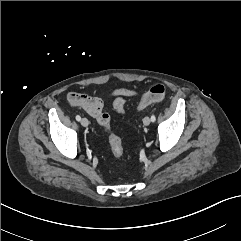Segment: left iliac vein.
<instances>
[{"label":"left iliac vein","mask_w":241,"mask_h":241,"mask_svg":"<svg viewBox=\"0 0 241 241\" xmlns=\"http://www.w3.org/2000/svg\"><path fill=\"white\" fill-rule=\"evenodd\" d=\"M150 123H151V119L148 116L144 117L143 124L145 126H148Z\"/></svg>","instance_id":"4c4485c4"}]
</instances>
